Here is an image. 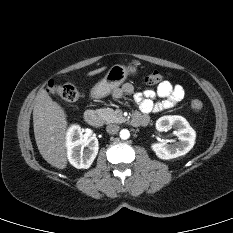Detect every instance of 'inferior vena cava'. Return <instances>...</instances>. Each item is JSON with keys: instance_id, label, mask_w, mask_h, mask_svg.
Segmentation results:
<instances>
[{"instance_id": "obj_1", "label": "inferior vena cava", "mask_w": 233, "mask_h": 233, "mask_svg": "<svg viewBox=\"0 0 233 233\" xmlns=\"http://www.w3.org/2000/svg\"><path fill=\"white\" fill-rule=\"evenodd\" d=\"M119 126L117 124H109L106 126V131L109 134H116L119 131Z\"/></svg>"}]
</instances>
